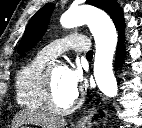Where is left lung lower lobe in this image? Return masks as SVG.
<instances>
[{
	"mask_svg": "<svg viewBox=\"0 0 142 128\" xmlns=\"http://www.w3.org/2000/svg\"><path fill=\"white\" fill-rule=\"evenodd\" d=\"M118 33H119V41H118V49H117V52H118V56H117V60L122 63V59H123V56H124V45H123V33H124V26L121 27L119 30H118ZM101 116H103V113L101 112L100 113Z\"/></svg>",
	"mask_w": 142,
	"mask_h": 128,
	"instance_id": "left-lung-lower-lobe-1",
	"label": "left lung lower lobe"
}]
</instances>
